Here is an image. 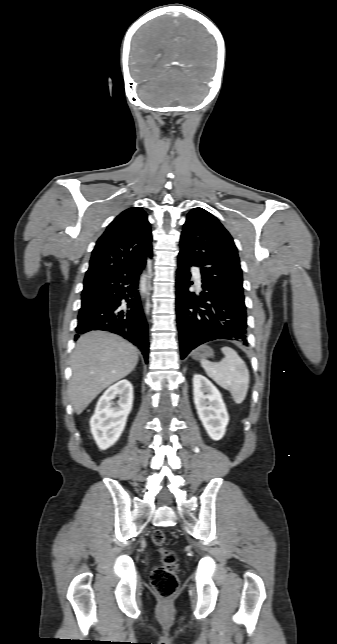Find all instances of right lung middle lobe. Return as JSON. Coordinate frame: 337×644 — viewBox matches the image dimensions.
Masks as SVG:
<instances>
[{"label":"right lung middle lobe","mask_w":337,"mask_h":644,"mask_svg":"<svg viewBox=\"0 0 337 644\" xmlns=\"http://www.w3.org/2000/svg\"><path fill=\"white\" fill-rule=\"evenodd\" d=\"M88 286H89V285H84V289H85V288H87ZM84 289H83V290H84Z\"/></svg>","instance_id":"obj_1"}]
</instances>
